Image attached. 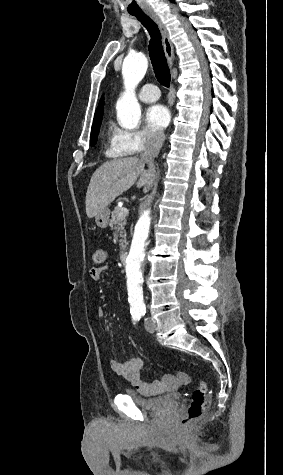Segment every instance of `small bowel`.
I'll list each match as a JSON object with an SVG mask.
<instances>
[{
  "label": "small bowel",
  "mask_w": 283,
  "mask_h": 475,
  "mask_svg": "<svg viewBox=\"0 0 283 475\" xmlns=\"http://www.w3.org/2000/svg\"><path fill=\"white\" fill-rule=\"evenodd\" d=\"M107 267H92L89 270V276L93 281L100 280L103 272L106 270ZM97 315L102 318L105 317L106 312L104 308L100 307L97 310ZM143 362L142 359L139 357H131L125 361H120L118 359H111L110 360V368L111 370L124 378L127 382L131 385L136 387L139 390H145L147 387V383L142 380L141 378V368ZM179 378L182 383H187L182 380H187L189 378V373L187 371H182L179 373ZM182 379V380H181ZM157 383L161 382L160 378L156 379ZM163 383L167 385H173L175 383L174 373L172 371H167L165 373V377L163 378Z\"/></svg>",
  "instance_id": "1"
}]
</instances>
